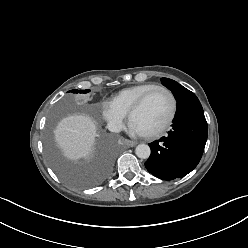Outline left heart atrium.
Returning <instances> with one entry per match:
<instances>
[{"mask_svg":"<svg viewBox=\"0 0 248 248\" xmlns=\"http://www.w3.org/2000/svg\"><path fill=\"white\" fill-rule=\"evenodd\" d=\"M130 128L134 133L142 135V132L137 127H135L133 124H130Z\"/></svg>","mask_w":248,"mask_h":248,"instance_id":"1","label":"left heart atrium"}]
</instances>
